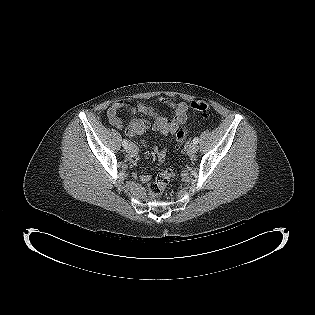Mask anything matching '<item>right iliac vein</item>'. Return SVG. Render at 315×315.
<instances>
[{"instance_id":"63e3f726","label":"right iliac vein","mask_w":315,"mask_h":315,"mask_svg":"<svg viewBox=\"0 0 315 315\" xmlns=\"http://www.w3.org/2000/svg\"><path fill=\"white\" fill-rule=\"evenodd\" d=\"M125 149H126V152L131 153L134 149V145L132 143H129V145H127Z\"/></svg>"}]
</instances>
